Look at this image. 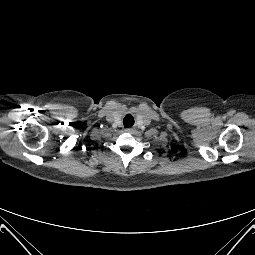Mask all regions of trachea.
<instances>
[{"mask_svg":"<svg viewBox=\"0 0 255 255\" xmlns=\"http://www.w3.org/2000/svg\"><path fill=\"white\" fill-rule=\"evenodd\" d=\"M123 124L125 128L132 127L134 125L133 116L130 114H127L123 119Z\"/></svg>","mask_w":255,"mask_h":255,"instance_id":"obj_1","label":"trachea"}]
</instances>
